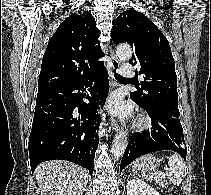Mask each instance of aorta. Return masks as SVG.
<instances>
[{"label": "aorta", "mask_w": 211, "mask_h": 195, "mask_svg": "<svg viewBox=\"0 0 211 195\" xmlns=\"http://www.w3.org/2000/svg\"><path fill=\"white\" fill-rule=\"evenodd\" d=\"M132 56V49L128 45H119L116 50V57L120 61H127ZM128 144V134L121 130L119 131L113 141L112 147H111V153L114 156L115 159H119Z\"/></svg>", "instance_id": "1"}]
</instances>
